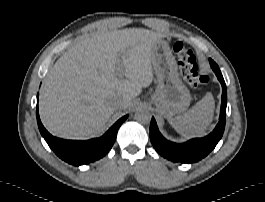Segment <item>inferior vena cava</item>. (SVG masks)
<instances>
[{
    "label": "inferior vena cava",
    "instance_id": "1",
    "mask_svg": "<svg viewBox=\"0 0 265 202\" xmlns=\"http://www.w3.org/2000/svg\"><path fill=\"white\" fill-rule=\"evenodd\" d=\"M110 104L114 109H120L122 107V99L119 96H114L110 99Z\"/></svg>",
    "mask_w": 265,
    "mask_h": 202
}]
</instances>
